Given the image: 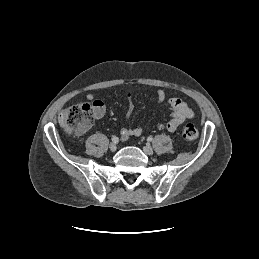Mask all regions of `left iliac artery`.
<instances>
[{"mask_svg":"<svg viewBox=\"0 0 259 259\" xmlns=\"http://www.w3.org/2000/svg\"><path fill=\"white\" fill-rule=\"evenodd\" d=\"M147 141H148V142H152V141H153V138H152L151 136H149V137L147 138Z\"/></svg>","mask_w":259,"mask_h":259,"instance_id":"44dca946","label":"left iliac artery"}]
</instances>
